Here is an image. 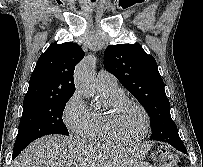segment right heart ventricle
Returning <instances> with one entry per match:
<instances>
[{
    "label": "right heart ventricle",
    "mask_w": 203,
    "mask_h": 167,
    "mask_svg": "<svg viewBox=\"0 0 203 167\" xmlns=\"http://www.w3.org/2000/svg\"><path fill=\"white\" fill-rule=\"evenodd\" d=\"M100 91L107 104H109L112 97L122 93L117 86L100 88ZM103 114L104 112L99 110L95 109L89 110L86 124L80 134L84 139L92 141L112 142L103 130L102 126Z\"/></svg>",
    "instance_id": "obj_1"
}]
</instances>
